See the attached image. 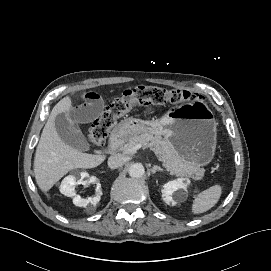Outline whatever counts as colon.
Returning a JSON list of instances; mask_svg holds the SVG:
<instances>
[{"label":"colon","instance_id":"colon-1","mask_svg":"<svg viewBox=\"0 0 271 271\" xmlns=\"http://www.w3.org/2000/svg\"><path fill=\"white\" fill-rule=\"evenodd\" d=\"M198 96L183 90H169L152 86H141L126 92L123 97L113 101L105 111L97 117L89 130V141L92 146L104 144L111 127L126 115L135 102L140 104L166 105L185 100H196Z\"/></svg>","mask_w":271,"mask_h":271}]
</instances>
